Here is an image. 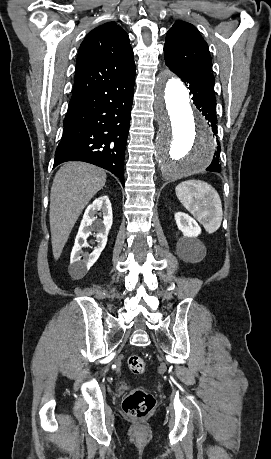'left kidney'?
<instances>
[{
	"mask_svg": "<svg viewBox=\"0 0 271 459\" xmlns=\"http://www.w3.org/2000/svg\"><path fill=\"white\" fill-rule=\"evenodd\" d=\"M175 220L178 229H181L184 233V237L179 239L177 245L182 247L184 251H196L197 247L194 245V237L200 231L197 222H195L193 218H190L188 214H184V212H177V214H175Z\"/></svg>",
	"mask_w": 271,
	"mask_h": 459,
	"instance_id": "left-kidney-1",
	"label": "left kidney"
}]
</instances>
